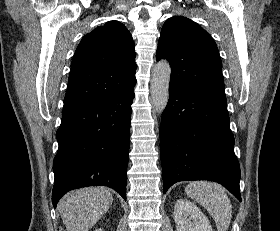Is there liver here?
Masks as SVG:
<instances>
[{
    "label": "liver",
    "mask_w": 280,
    "mask_h": 231,
    "mask_svg": "<svg viewBox=\"0 0 280 231\" xmlns=\"http://www.w3.org/2000/svg\"><path fill=\"white\" fill-rule=\"evenodd\" d=\"M108 187H82L62 197L59 209L67 231H89L112 205Z\"/></svg>",
    "instance_id": "liver-1"
}]
</instances>
